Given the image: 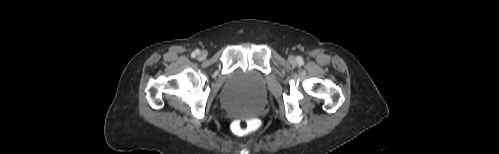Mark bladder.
I'll use <instances>...</instances> for the list:
<instances>
[{"instance_id":"1","label":"bladder","mask_w":499,"mask_h":154,"mask_svg":"<svg viewBox=\"0 0 499 154\" xmlns=\"http://www.w3.org/2000/svg\"><path fill=\"white\" fill-rule=\"evenodd\" d=\"M265 79L256 71H237L222 92L225 109L251 115L258 112L264 101Z\"/></svg>"}]
</instances>
